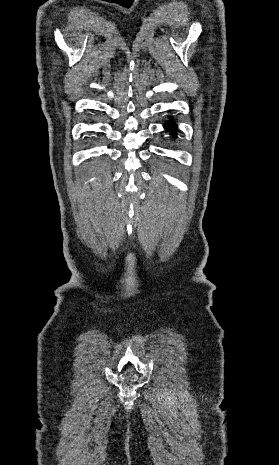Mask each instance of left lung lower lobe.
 I'll return each mask as SVG.
<instances>
[{
    "instance_id": "obj_1",
    "label": "left lung lower lobe",
    "mask_w": 279,
    "mask_h": 465,
    "mask_svg": "<svg viewBox=\"0 0 279 465\" xmlns=\"http://www.w3.org/2000/svg\"><path fill=\"white\" fill-rule=\"evenodd\" d=\"M165 129L167 131H173V133L171 134L172 136H176V133H177V125L175 122L173 121H168L165 125H164Z\"/></svg>"
}]
</instances>
